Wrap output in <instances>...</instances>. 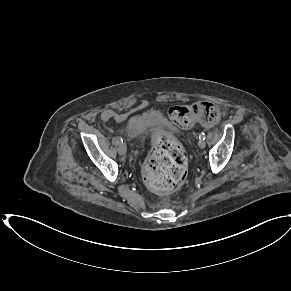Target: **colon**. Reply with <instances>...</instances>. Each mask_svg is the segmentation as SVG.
Returning <instances> with one entry per match:
<instances>
[{"mask_svg":"<svg viewBox=\"0 0 291 291\" xmlns=\"http://www.w3.org/2000/svg\"><path fill=\"white\" fill-rule=\"evenodd\" d=\"M168 115L178 126L189 128L195 122L213 125L219 120L220 113L211 102H196L172 106ZM186 175L185 152L169 134L159 133L154 139V150L143 170L147 187L155 192H171L184 182Z\"/></svg>","mask_w":291,"mask_h":291,"instance_id":"colon-1","label":"colon"}]
</instances>
